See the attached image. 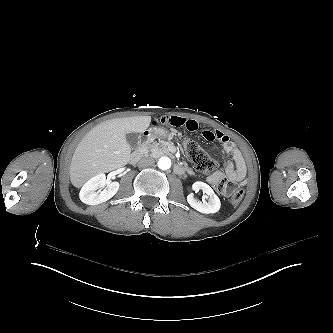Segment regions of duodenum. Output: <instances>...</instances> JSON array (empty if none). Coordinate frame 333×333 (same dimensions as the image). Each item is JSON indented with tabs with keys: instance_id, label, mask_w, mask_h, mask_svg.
Returning <instances> with one entry per match:
<instances>
[{
	"instance_id": "duodenum-1",
	"label": "duodenum",
	"mask_w": 333,
	"mask_h": 333,
	"mask_svg": "<svg viewBox=\"0 0 333 333\" xmlns=\"http://www.w3.org/2000/svg\"><path fill=\"white\" fill-rule=\"evenodd\" d=\"M150 138H151V131L146 130L142 133L140 140H139V148L137 150H135L130 156V162L132 164H135L139 161V159L141 158V156L143 154L144 146L148 143ZM174 169L179 174H182L186 171V167L180 163L175 164Z\"/></svg>"
}]
</instances>
